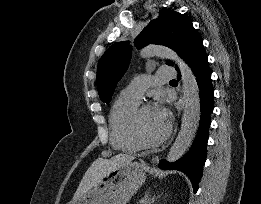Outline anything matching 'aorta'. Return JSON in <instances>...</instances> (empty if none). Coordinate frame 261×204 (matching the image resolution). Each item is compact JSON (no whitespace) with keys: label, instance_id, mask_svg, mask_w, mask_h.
<instances>
[{"label":"aorta","instance_id":"1","mask_svg":"<svg viewBox=\"0 0 261 204\" xmlns=\"http://www.w3.org/2000/svg\"><path fill=\"white\" fill-rule=\"evenodd\" d=\"M142 57H163L177 64L181 72L184 94V113L180 131L175 142L170 148L167 161L174 162L180 159L190 147L196 135L200 121L199 88L191 68L173 50L156 45H149L141 51Z\"/></svg>","mask_w":261,"mask_h":204}]
</instances>
